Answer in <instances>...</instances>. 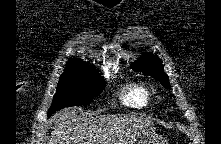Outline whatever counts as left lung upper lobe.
I'll list each match as a JSON object with an SVG mask.
<instances>
[{
	"instance_id": "5c2ea615",
	"label": "left lung upper lobe",
	"mask_w": 221,
	"mask_h": 144,
	"mask_svg": "<svg viewBox=\"0 0 221 144\" xmlns=\"http://www.w3.org/2000/svg\"><path fill=\"white\" fill-rule=\"evenodd\" d=\"M132 68L158 79L164 87L170 88L169 77L164 72L161 60L157 55H147L136 60L132 63Z\"/></svg>"
}]
</instances>
